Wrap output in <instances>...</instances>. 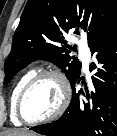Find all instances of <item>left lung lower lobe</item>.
I'll use <instances>...</instances> for the list:
<instances>
[{
	"label": "left lung lower lobe",
	"instance_id": "1",
	"mask_svg": "<svg viewBox=\"0 0 117 136\" xmlns=\"http://www.w3.org/2000/svg\"><path fill=\"white\" fill-rule=\"evenodd\" d=\"M106 72L92 76L94 91L76 92L80 76L71 84L73 93L69 107L62 117L52 123L35 126L37 133L50 136H117V20L91 47ZM96 64L90 66V71Z\"/></svg>",
	"mask_w": 117,
	"mask_h": 136
}]
</instances>
